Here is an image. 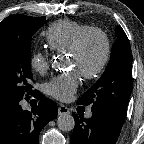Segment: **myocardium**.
I'll return each instance as SVG.
<instances>
[{"label":"myocardium","mask_w":144,"mask_h":144,"mask_svg":"<svg viewBox=\"0 0 144 144\" xmlns=\"http://www.w3.org/2000/svg\"><path fill=\"white\" fill-rule=\"evenodd\" d=\"M91 36H98L103 43V54L99 63L91 70H77L78 73L85 79L91 80L97 78L106 68L111 56V42L106 32L99 28L91 27L83 32L75 41L72 48L69 50L71 56L80 57L87 40Z\"/></svg>","instance_id":"obj_1"}]
</instances>
